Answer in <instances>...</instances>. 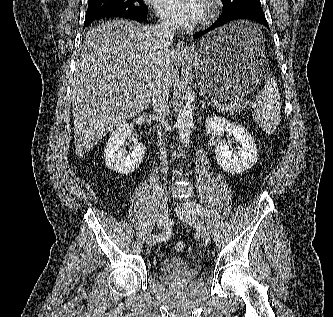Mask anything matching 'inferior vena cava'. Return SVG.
I'll return each instance as SVG.
<instances>
[{"label": "inferior vena cava", "instance_id": "obj_1", "mask_svg": "<svg viewBox=\"0 0 333 317\" xmlns=\"http://www.w3.org/2000/svg\"><path fill=\"white\" fill-rule=\"evenodd\" d=\"M154 36L160 42L162 49H166L171 46L175 28L168 23H161L152 27ZM170 92V83L168 78L164 74H159L154 81L152 90V103L153 112L159 117L164 118L169 112L168 98ZM159 135V149L161 159V173L167 175V151L163 145L161 126L157 127Z\"/></svg>", "mask_w": 333, "mask_h": 317}]
</instances>
